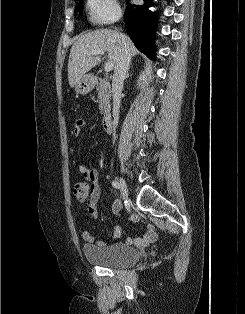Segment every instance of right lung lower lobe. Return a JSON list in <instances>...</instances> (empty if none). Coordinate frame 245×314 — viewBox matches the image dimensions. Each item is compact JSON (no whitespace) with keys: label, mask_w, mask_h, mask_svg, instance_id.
I'll return each instance as SVG.
<instances>
[{"label":"right lung lower lobe","mask_w":245,"mask_h":314,"mask_svg":"<svg viewBox=\"0 0 245 314\" xmlns=\"http://www.w3.org/2000/svg\"><path fill=\"white\" fill-rule=\"evenodd\" d=\"M153 0H144L143 5L127 4L124 20L129 37L136 47L154 58V34L156 17L148 10Z\"/></svg>","instance_id":"98d812e1"}]
</instances>
